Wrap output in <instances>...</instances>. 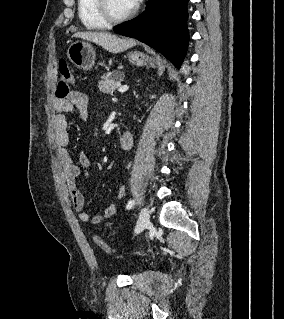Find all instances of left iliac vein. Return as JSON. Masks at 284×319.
Segmentation results:
<instances>
[{"label": "left iliac vein", "mask_w": 284, "mask_h": 319, "mask_svg": "<svg viewBox=\"0 0 284 319\" xmlns=\"http://www.w3.org/2000/svg\"><path fill=\"white\" fill-rule=\"evenodd\" d=\"M149 225V210L143 207L140 211L139 218L135 227V233L142 232Z\"/></svg>", "instance_id": "obj_1"}]
</instances>
